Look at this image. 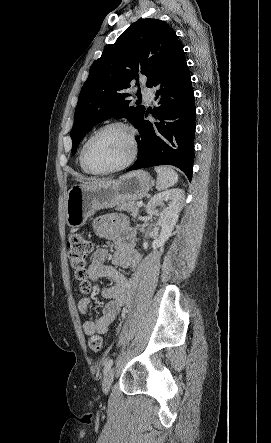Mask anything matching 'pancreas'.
<instances>
[{"label":"pancreas","mask_w":271,"mask_h":443,"mask_svg":"<svg viewBox=\"0 0 271 443\" xmlns=\"http://www.w3.org/2000/svg\"><path fill=\"white\" fill-rule=\"evenodd\" d=\"M116 210H120V212H122V210H124V212H129L132 218H137L139 212V208H137L135 202H122V204H117Z\"/></svg>","instance_id":"1"}]
</instances>
